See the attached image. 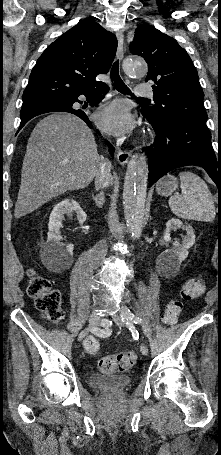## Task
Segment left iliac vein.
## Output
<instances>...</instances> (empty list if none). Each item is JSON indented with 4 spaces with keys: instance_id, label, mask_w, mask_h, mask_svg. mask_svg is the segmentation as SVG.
<instances>
[{
    "instance_id": "obj_1",
    "label": "left iliac vein",
    "mask_w": 221,
    "mask_h": 455,
    "mask_svg": "<svg viewBox=\"0 0 221 455\" xmlns=\"http://www.w3.org/2000/svg\"><path fill=\"white\" fill-rule=\"evenodd\" d=\"M123 308V307H122ZM121 308V310H122ZM113 321L117 324V325H123V322H122V319H121V316L119 314H115L113 315L112 317ZM140 351L143 355H147L148 354V347L145 343H142L140 345Z\"/></svg>"
}]
</instances>
